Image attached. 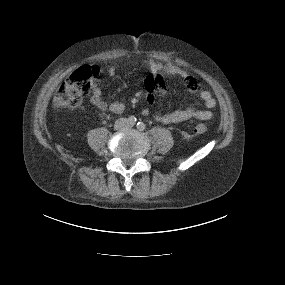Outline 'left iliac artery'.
Listing matches in <instances>:
<instances>
[{
	"label": "left iliac artery",
	"mask_w": 285,
	"mask_h": 285,
	"mask_svg": "<svg viewBox=\"0 0 285 285\" xmlns=\"http://www.w3.org/2000/svg\"><path fill=\"white\" fill-rule=\"evenodd\" d=\"M146 128L145 124L143 122L137 123V129L140 131H143Z\"/></svg>",
	"instance_id": "left-iliac-artery-1"
}]
</instances>
